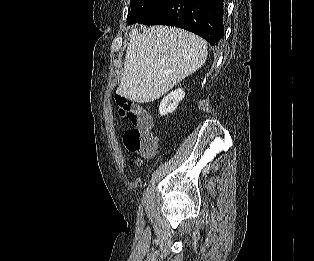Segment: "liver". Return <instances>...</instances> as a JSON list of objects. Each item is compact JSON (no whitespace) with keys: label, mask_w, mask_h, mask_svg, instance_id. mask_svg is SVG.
I'll list each match as a JSON object with an SVG mask.
<instances>
[{"label":"liver","mask_w":314,"mask_h":261,"mask_svg":"<svg viewBox=\"0 0 314 261\" xmlns=\"http://www.w3.org/2000/svg\"><path fill=\"white\" fill-rule=\"evenodd\" d=\"M207 44L186 30L151 26L129 33L124 72L117 94L137 103H149L201 68Z\"/></svg>","instance_id":"liver-1"}]
</instances>
